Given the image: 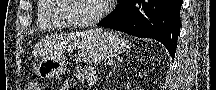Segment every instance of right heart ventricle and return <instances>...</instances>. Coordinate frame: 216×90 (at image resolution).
<instances>
[{"label":"right heart ventricle","instance_id":"right-heart-ventricle-1","mask_svg":"<svg viewBox=\"0 0 216 90\" xmlns=\"http://www.w3.org/2000/svg\"><path fill=\"white\" fill-rule=\"evenodd\" d=\"M41 6H36L35 10H39L37 17V26L39 29H68L65 20H61L62 14H52V10L57 7H63L59 0H38ZM51 16V17H44Z\"/></svg>","mask_w":216,"mask_h":90}]
</instances>
